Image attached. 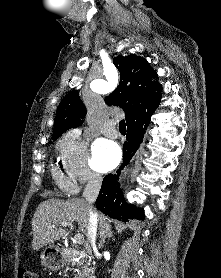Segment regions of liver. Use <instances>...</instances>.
Here are the masks:
<instances>
[{"mask_svg":"<svg viewBox=\"0 0 221 278\" xmlns=\"http://www.w3.org/2000/svg\"><path fill=\"white\" fill-rule=\"evenodd\" d=\"M89 209V203L83 199L63 201L50 198L41 202L32 219V249L38 251L42 247L60 240L67 233L66 229L61 228L62 222L72 223L76 221L79 231L87 236ZM96 213L99 222V232L105 233L110 230L111 226L106 221L105 215Z\"/></svg>","mask_w":221,"mask_h":278,"instance_id":"liver-1","label":"liver"}]
</instances>
